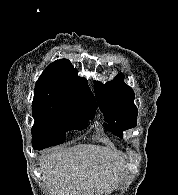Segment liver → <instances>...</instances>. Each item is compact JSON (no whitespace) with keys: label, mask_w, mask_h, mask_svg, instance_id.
Instances as JSON below:
<instances>
[{"label":"liver","mask_w":178,"mask_h":195,"mask_svg":"<svg viewBox=\"0 0 178 195\" xmlns=\"http://www.w3.org/2000/svg\"><path fill=\"white\" fill-rule=\"evenodd\" d=\"M123 159L96 145L42 155L46 183L51 195H108L117 187Z\"/></svg>","instance_id":"obj_1"}]
</instances>
